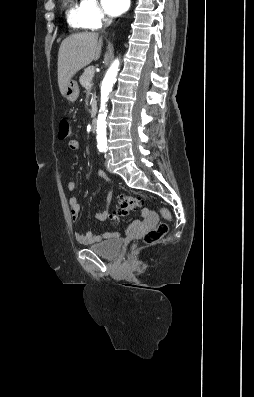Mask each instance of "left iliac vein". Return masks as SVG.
I'll list each match as a JSON object with an SVG mask.
<instances>
[{"mask_svg":"<svg viewBox=\"0 0 254 397\" xmlns=\"http://www.w3.org/2000/svg\"><path fill=\"white\" fill-rule=\"evenodd\" d=\"M105 165H106L107 170L109 172H112V166H111V162H110V158L109 157H107Z\"/></svg>","mask_w":254,"mask_h":397,"instance_id":"left-iliac-vein-1","label":"left iliac vein"}]
</instances>
